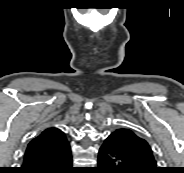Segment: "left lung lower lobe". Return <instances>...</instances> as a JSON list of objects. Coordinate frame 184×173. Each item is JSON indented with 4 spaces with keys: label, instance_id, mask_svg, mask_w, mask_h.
<instances>
[{
    "label": "left lung lower lobe",
    "instance_id": "0a47b994",
    "mask_svg": "<svg viewBox=\"0 0 184 173\" xmlns=\"http://www.w3.org/2000/svg\"><path fill=\"white\" fill-rule=\"evenodd\" d=\"M120 132L114 131L103 142L98 155L99 173H149L137 165L122 147Z\"/></svg>",
    "mask_w": 184,
    "mask_h": 173
}]
</instances>
